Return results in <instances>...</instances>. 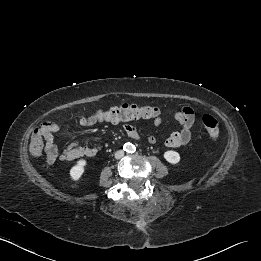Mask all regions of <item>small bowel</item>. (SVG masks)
<instances>
[{"mask_svg":"<svg viewBox=\"0 0 261 261\" xmlns=\"http://www.w3.org/2000/svg\"><path fill=\"white\" fill-rule=\"evenodd\" d=\"M173 116L179 124V129L173 131L168 136V138L165 141V144L169 148L185 146L192 139V129L195 121L194 111L192 110V108L186 106L176 111ZM97 122H99V119L96 117V115L83 117L79 120V124L82 127H91L95 125ZM120 122L122 121L110 123L118 124ZM153 123L155 126H159L161 123V119L159 117H156L154 118ZM44 126L48 130L45 141V152L47 162L50 164H53L58 160L71 161L81 157H93L99 151V148L97 147L80 146L76 143H71L62 151V153L59 154L58 147L53 141V134L61 132L62 128L57 124L50 122L45 123ZM123 129L127 133V135L131 137L133 136V134H137L136 128L130 124H124ZM148 141L154 144L156 142V138L154 136H149Z\"/></svg>","mask_w":261,"mask_h":261,"instance_id":"c3829d8e","label":"small bowel"}]
</instances>
